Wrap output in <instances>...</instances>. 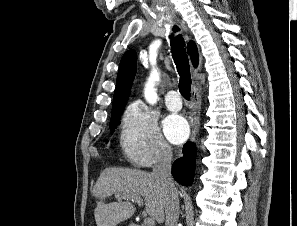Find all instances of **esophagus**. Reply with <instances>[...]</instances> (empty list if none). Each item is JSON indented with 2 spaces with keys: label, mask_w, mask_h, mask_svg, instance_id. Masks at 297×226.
<instances>
[{
  "label": "esophagus",
  "mask_w": 297,
  "mask_h": 226,
  "mask_svg": "<svg viewBox=\"0 0 297 226\" xmlns=\"http://www.w3.org/2000/svg\"><path fill=\"white\" fill-rule=\"evenodd\" d=\"M183 29L187 31V26L183 20H179ZM192 102H193V114H192V133L191 141H194L198 135L200 127V111H201V95L198 89V83L195 81L191 90Z\"/></svg>",
  "instance_id": "obj_1"
}]
</instances>
